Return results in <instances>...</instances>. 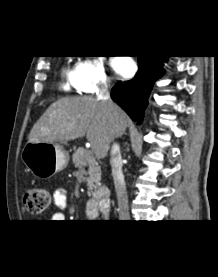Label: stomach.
Here are the masks:
<instances>
[{"mask_svg": "<svg viewBox=\"0 0 218 277\" xmlns=\"http://www.w3.org/2000/svg\"><path fill=\"white\" fill-rule=\"evenodd\" d=\"M21 159L36 177L47 178L63 170L69 163V155L58 143L28 142Z\"/></svg>", "mask_w": 218, "mask_h": 277, "instance_id": "obj_1", "label": "stomach"}]
</instances>
